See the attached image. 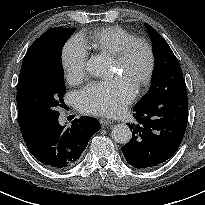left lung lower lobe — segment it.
I'll return each mask as SVG.
<instances>
[{"mask_svg": "<svg viewBox=\"0 0 205 205\" xmlns=\"http://www.w3.org/2000/svg\"><path fill=\"white\" fill-rule=\"evenodd\" d=\"M131 140L122 147L127 162L138 169L155 167L170 159L179 148L187 126V90L133 108Z\"/></svg>", "mask_w": 205, "mask_h": 205, "instance_id": "1", "label": "left lung lower lobe"}]
</instances>
